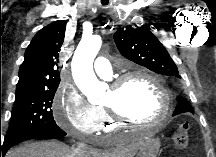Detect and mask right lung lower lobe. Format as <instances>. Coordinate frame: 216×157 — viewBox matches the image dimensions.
<instances>
[{
	"label": "right lung lower lobe",
	"mask_w": 216,
	"mask_h": 157,
	"mask_svg": "<svg viewBox=\"0 0 216 157\" xmlns=\"http://www.w3.org/2000/svg\"><path fill=\"white\" fill-rule=\"evenodd\" d=\"M65 135L66 133L60 128L55 130H50V131H41V132L28 134L27 136L22 137L20 139L14 140L7 144H3L2 146L0 145V157H4L6 152L9 150V148H11L13 145L19 142L31 140V139H57V138H62Z\"/></svg>",
	"instance_id": "1"
}]
</instances>
